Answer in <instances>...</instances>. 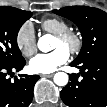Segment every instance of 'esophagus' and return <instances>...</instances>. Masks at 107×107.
<instances>
[{
	"mask_svg": "<svg viewBox=\"0 0 107 107\" xmlns=\"http://www.w3.org/2000/svg\"><path fill=\"white\" fill-rule=\"evenodd\" d=\"M40 76H41V77H52L53 74H41Z\"/></svg>",
	"mask_w": 107,
	"mask_h": 107,
	"instance_id": "esophagus-1",
	"label": "esophagus"
}]
</instances>
